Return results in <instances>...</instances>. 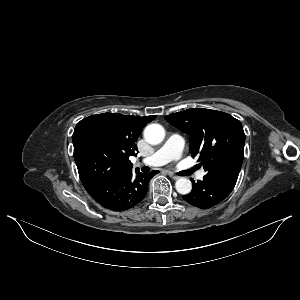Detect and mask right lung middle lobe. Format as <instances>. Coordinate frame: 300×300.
<instances>
[{"mask_svg":"<svg viewBox=\"0 0 300 300\" xmlns=\"http://www.w3.org/2000/svg\"><path fill=\"white\" fill-rule=\"evenodd\" d=\"M74 159L83 185L117 178L126 173V166L100 128L80 121L73 136Z\"/></svg>","mask_w":300,"mask_h":300,"instance_id":"dd1d6c3e","label":"right lung middle lobe"}]
</instances>
